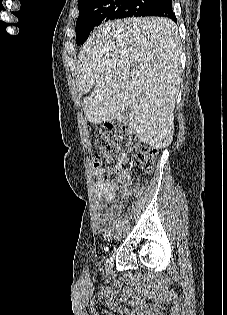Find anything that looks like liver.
I'll return each instance as SVG.
<instances>
[{
	"label": "liver",
	"instance_id": "1",
	"mask_svg": "<svg viewBox=\"0 0 227 315\" xmlns=\"http://www.w3.org/2000/svg\"><path fill=\"white\" fill-rule=\"evenodd\" d=\"M78 85L94 124L126 114L130 130L151 147L171 144L181 83V40L167 18L110 21L80 51ZM92 90V91H91Z\"/></svg>",
	"mask_w": 227,
	"mask_h": 315
}]
</instances>
